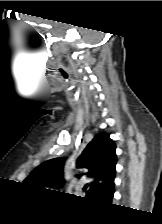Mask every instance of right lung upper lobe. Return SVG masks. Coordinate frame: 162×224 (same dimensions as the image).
I'll return each instance as SVG.
<instances>
[{"instance_id": "1", "label": "right lung upper lobe", "mask_w": 162, "mask_h": 224, "mask_svg": "<svg viewBox=\"0 0 162 224\" xmlns=\"http://www.w3.org/2000/svg\"><path fill=\"white\" fill-rule=\"evenodd\" d=\"M116 145L109 134H97L78 158L77 167L87 168V175L92 180L87 195L108 202L114 194ZM65 158L47 160L36 167L25 179L30 186L61 187L64 183L63 167Z\"/></svg>"}]
</instances>
